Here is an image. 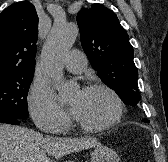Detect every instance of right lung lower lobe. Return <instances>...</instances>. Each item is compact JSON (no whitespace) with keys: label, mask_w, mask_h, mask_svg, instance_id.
Listing matches in <instances>:
<instances>
[{"label":"right lung lower lobe","mask_w":168,"mask_h":162,"mask_svg":"<svg viewBox=\"0 0 168 162\" xmlns=\"http://www.w3.org/2000/svg\"><path fill=\"white\" fill-rule=\"evenodd\" d=\"M0 122H2V123H8V124H13V125H18L19 122H20V119L11 118V117H5V116H0Z\"/></svg>","instance_id":"98d812e1"}]
</instances>
